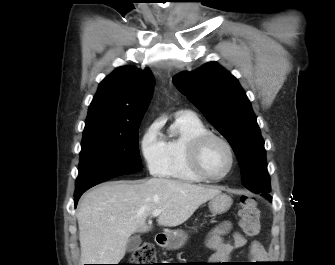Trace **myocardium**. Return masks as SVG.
<instances>
[{
    "label": "myocardium",
    "mask_w": 335,
    "mask_h": 265,
    "mask_svg": "<svg viewBox=\"0 0 335 265\" xmlns=\"http://www.w3.org/2000/svg\"><path fill=\"white\" fill-rule=\"evenodd\" d=\"M212 140H217L221 142L228 150L230 156V163L227 170L220 176H211L209 175L203 168L201 163V156L204 147L206 144ZM188 159L189 164L192 170L203 180L210 181V182H218L225 179L233 170L236 161V155L232 144L223 136L207 132L201 134L194 138L189 146L188 152Z\"/></svg>",
    "instance_id": "myocardium-1"
}]
</instances>
